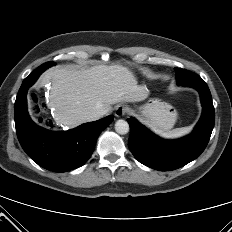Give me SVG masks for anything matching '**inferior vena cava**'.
<instances>
[{
  "instance_id": "inferior-vena-cava-1",
  "label": "inferior vena cava",
  "mask_w": 232,
  "mask_h": 232,
  "mask_svg": "<svg viewBox=\"0 0 232 232\" xmlns=\"http://www.w3.org/2000/svg\"><path fill=\"white\" fill-rule=\"evenodd\" d=\"M107 113L106 110H96L94 112H91L87 115V120L89 121H94V120H97L99 119L100 117H102L103 115H105Z\"/></svg>"
}]
</instances>
